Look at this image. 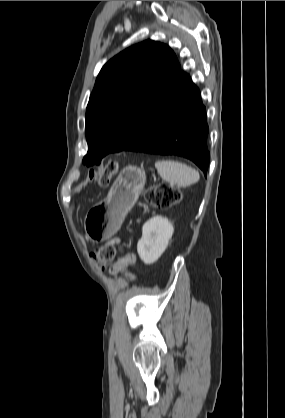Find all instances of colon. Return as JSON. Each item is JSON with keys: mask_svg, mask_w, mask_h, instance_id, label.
<instances>
[{"mask_svg": "<svg viewBox=\"0 0 285 418\" xmlns=\"http://www.w3.org/2000/svg\"><path fill=\"white\" fill-rule=\"evenodd\" d=\"M116 171L117 163L110 161L103 167L90 171L89 179L91 181H97L101 186L106 187L110 184V178ZM143 196L146 202L152 207L166 209L179 203L181 192L164 183H159L146 188L143 191ZM115 255L116 248L106 243L97 247L91 253V259L99 268H105L106 264L115 258ZM133 258L134 255L132 254L127 256L125 261L119 265V269H124L131 265Z\"/></svg>", "mask_w": 285, "mask_h": 418, "instance_id": "colon-1", "label": "colon"}]
</instances>
